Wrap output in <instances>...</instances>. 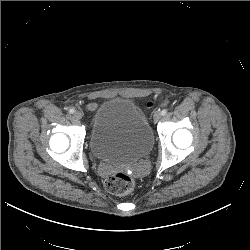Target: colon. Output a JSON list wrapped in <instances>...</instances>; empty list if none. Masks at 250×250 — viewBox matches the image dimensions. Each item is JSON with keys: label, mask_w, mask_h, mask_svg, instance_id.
Here are the masks:
<instances>
[{"label": "colon", "mask_w": 250, "mask_h": 250, "mask_svg": "<svg viewBox=\"0 0 250 250\" xmlns=\"http://www.w3.org/2000/svg\"><path fill=\"white\" fill-rule=\"evenodd\" d=\"M105 188L109 193L115 195H126L135 187V180L126 173H116L105 180Z\"/></svg>", "instance_id": "5ec220e1"}]
</instances>
